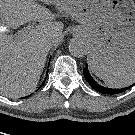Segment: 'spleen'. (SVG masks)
Listing matches in <instances>:
<instances>
[{"label": "spleen", "mask_w": 135, "mask_h": 135, "mask_svg": "<svg viewBox=\"0 0 135 135\" xmlns=\"http://www.w3.org/2000/svg\"><path fill=\"white\" fill-rule=\"evenodd\" d=\"M90 68L95 65L93 61H89ZM106 85L112 88L127 87L135 83V64L129 66L125 70L116 71L111 74L95 73Z\"/></svg>", "instance_id": "3e777b00"}]
</instances>
